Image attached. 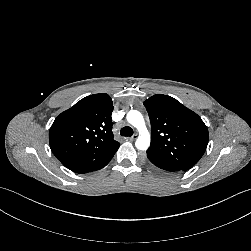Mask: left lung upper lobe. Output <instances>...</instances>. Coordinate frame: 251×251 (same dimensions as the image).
<instances>
[{"label":"left lung upper lobe","instance_id":"1","mask_svg":"<svg viewBox=\"0 0 251 251\" xmlns=\"http://www.w3.org/2000/svg\"><path fill=\"white\" fill-rule=\"evenodd\" d=\"M151 122L149 160L192 168L208 144V129L202 119L176 99L156 94L144 102Z\"/></svg>","mask_w":251,"mask_h":251}]
</instances>
